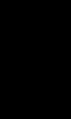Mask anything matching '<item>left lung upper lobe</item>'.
<instances>
[{"mask_svg":"<svg viewBox=\"0 0 71 119\" xmlns=\"http://www.w3.org/2000/svg\"><path fill=\"white\" fill-rule=\"evenodd\" d=\"M49 13L53 15L66 30L71 21V0H42Z\"/></svg>","mask_w":71,"mask_h":119,"instance_id":"left-lung-upper-lobe-1","label":"left lung upper lobe"}]
</instances>
